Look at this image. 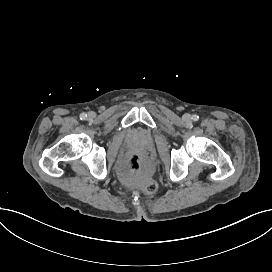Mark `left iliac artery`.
<instances>
[{
    "mask_svg": "<svg viewBox=\"0 0 272 272\" xmlns=\"http://www.w3.org/2000/svg\"><path fill=\"white\" fill-rule=\"evenodd\" d=\"M192 119H193L194 121H198L199 116H198V115H193V116H192Z\"/></svg>",
    "mask_w": 272,
    "mask_h": 272,
    "instance_id": "obj_1",
    "label": "left iliac artery"
}]
</instances>
